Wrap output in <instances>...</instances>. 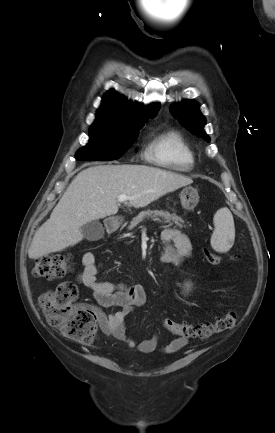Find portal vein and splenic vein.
Masks as SVG:
<instances>
[{"mask_svg": "<svg viewBox=\"0 0 275 433\" xmlns=\"http://www.w3.org/2000/svg\"><path fill=\"white\" fill-rule=\"evenodd\" d=\"M131 199V197L127 196V195H119L118 196V201L119 202H125L127 200Z\"/></svg>", "mask_w": 275, "mask_h": 433, "instance_id": "18ae733b", "label": "portal vein and splenic vein"}]
</instances>
